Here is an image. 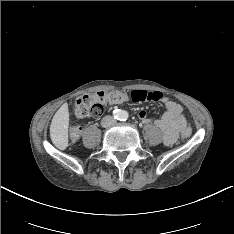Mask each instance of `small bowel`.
<instances>
[{"mask_svg": "<svg viewBox=\"0 0 234 234\" xmlns=\"http://www.w3.org/2000/svg\"><path fill=\"white\" fill-rule=\"evenodd\" d=\"M159 101L163 103L165 112L161 118L154 120L153 123L163 132L164 144L171 145L176 141L179 132L185 129L186 120L179 104L163 95ZM138 115L144 124L152 122L146 111L141 110Z\"/></svg>", "mask_w": 234, "mask_h": 234, "instance_id": "1", "label": "small bowel"}]
</instances>
